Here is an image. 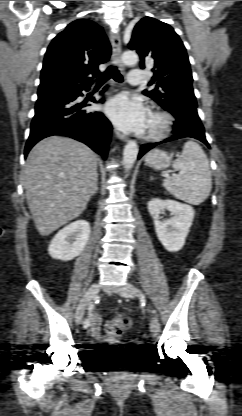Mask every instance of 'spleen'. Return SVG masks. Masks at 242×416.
<instances>
[{"label":"spleen","instance_id":"1","mask_svg":"<svg viewBox=\"0 0 242 416\" xmlns=\"http://www.w3.org/2000/svg\"><path fill=\"white\" fill-rule=\"evenodd\" d=\"M172 167L179 174L165 178L164 188L174 197L192 205L205 201L212 188V178L208 158L201 146L192 140L187 141Z\"/></svg>","mask_w":242,"mask_h":416}]
</instances>
